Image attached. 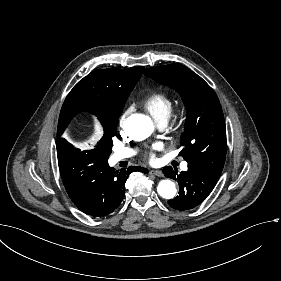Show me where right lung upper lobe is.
Here are the masks:
<instances>
[{
  "label": "right lung upper lobe",
  "mask_w": 281,
  "mask_h": 281,
  "mask_svg": "<svg viewBox=\"0 0 281 281\" xmlns=\"http://www.w3.org/2000/svg\"><path fill=\"white\" fill-rule=\"evenodd\" d=\"M143 69L144 67L139 66L122 70H96L80 80L63 103L57 139L62 138L70 119L78 112L88 111L99 120L102 117H119Z\"/></svg>",
  "instance_id": "obj_1"
}]
</instances>
